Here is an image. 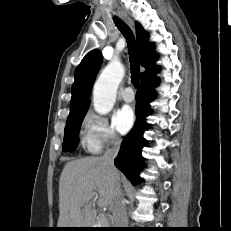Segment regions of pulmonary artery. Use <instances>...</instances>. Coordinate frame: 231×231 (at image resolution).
<instances>
[{
	"mask_svg": "<svg viewBox=\"0 0 231 231\" xmlns=\"http://www.w3.org/2000/svg\"><path fill=\"white\" fill-rule=\"evenodd\" d=\"M122 99L126 102H132L134 100V92L131 87H126L121 92Z\"/></svg>",
	"mask_w": 231,
	"mask_h": 231,
	"instance_id": "1",
	"label": "pulmonary artery"
}]
</instances>
